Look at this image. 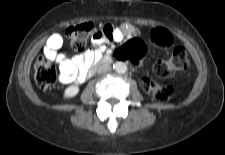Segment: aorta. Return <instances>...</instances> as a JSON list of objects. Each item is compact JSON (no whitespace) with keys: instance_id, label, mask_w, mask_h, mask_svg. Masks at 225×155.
I'll return each instance as SVG.
<instances>
[{"instance_id":"1","label":"aorta","mask_w":225,"mask_h":155,"mask_svg":"<svg viewBox=\"0 0 225 155\" xmlns=\"http://www.w3.org/2000/svg\"><path fill=\"white\" fill-rule=\"evenodd\" d=\"M113 68L115 71H117L118 73H124L127 70V65L124 62H116L113 65Z\"/></svg>"}]
</instances>
